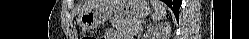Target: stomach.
I'll return each mask as SVG.
<instances>
[{"label":"stomach","instance_id":"1","mask_svg":"<svg viewBox=\"0 0 249 39\" xmlns=\"http://www.w3.org/2000/svg\"><path fill=\"white\" fill-rule=\"evenodd\" d=\"M149 11L146 0H122L118 4L98 5L82 11L78 16L77 23L83 29L93 30L104 24L113 14L141 20Z\"/></svg>","mask_w":249,"mask_h":39}]
</instances>
